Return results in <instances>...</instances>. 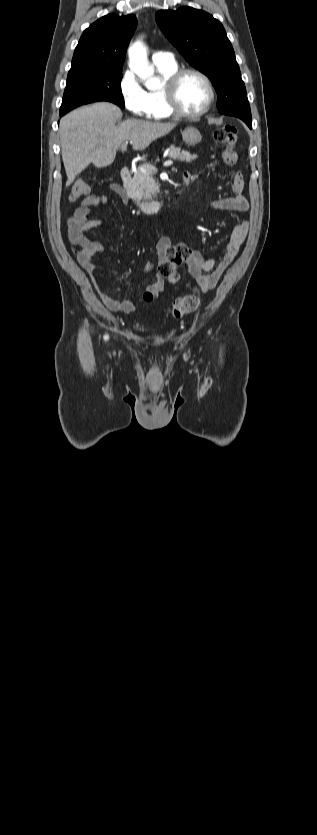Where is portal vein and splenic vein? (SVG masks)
<instances>
[{
    "label": "portal vein and splenic vein",
    "instance_id": "18ae733b",
    "mask_svg": "<svg viewBox=\"0 0 317 835\" xmlns=\"http://www.w3.org/2000/svg\"><path fill=\"white\" fill-rule=\"evenodd\" d=\"M126 149H127V142H125L124 144H122V145H121V150H122L123 152H124V151H126ZM172 165H173V161H165V162H164V164H163V166H165V167H169V166H172ZM151 169H152V170H154V171H156V168H155V167H152ZM140 170H141V171H143V172H146V171H147V168H145V167H140Z\"/></svg>",
    "mask_w": 317,
    "mask_h": 835
}]
</instances>
